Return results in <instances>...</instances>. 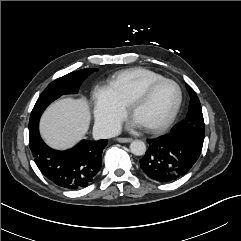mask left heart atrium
Listing matches in <instances>:
<instances>
[{
	"mask_svg": "<svg viewBox=\"0 0 241 241\" xmlns=\"http://www.w3.org/2000/svg\"><path fill=\"white\" fill-rule=\"evenodd\" d=\"M132 124L134 125V126H143L142 124H140L136 119H134L133 118V120H132Z\"/></svg>",
	"mask_w": 241,
	"mask_h": 241,
	"instance_id": "1",
	"label": "left heart atrium"
}]
</instances>
